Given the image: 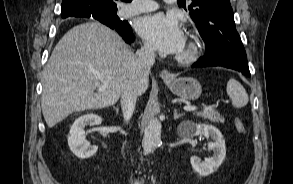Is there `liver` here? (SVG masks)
Returning <instances> with one entry per match:
<instances>
[{
    "label": "liver",
    "instance_id": "6515ba94",
    "mask_svg": "<svg viewBox=\"0 0 293 184\" xmlns=\"http://www.w3.org/2000/svg\"><path fill=\"white\" fill-rule=\"evenodd\" d=\"M134 61L135 54L109 27L87 22L70 29L43 71L41 108L47 126L54 127L73 112L114 105L128 85L143 94L149 74L140 79ZM104 83L107 87L98 91Z\"/></svg>",
    "mask_w": 293,
    "mask_h": 184
}]
</instances>
